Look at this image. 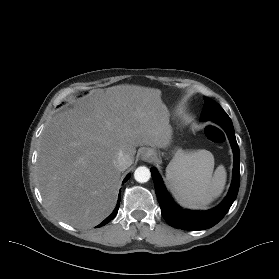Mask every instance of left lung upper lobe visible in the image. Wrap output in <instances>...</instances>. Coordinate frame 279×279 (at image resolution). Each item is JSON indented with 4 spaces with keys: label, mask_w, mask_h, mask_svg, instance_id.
Wrapping results in <instances>:
<instances>
[{
    "label": "left lung upper lobe",
    "mask_w": 279,
    "mask_h": 279,
    "mask_svg": "<svg viewBox=\"0 0 279 279\" xmlns=\"http://www.w3.org/2000/svg\"><path fill=\"white\" fill-rule=\"evenodd\" d=\"M200 120L214 121V122H217L219 120L229 121L230 117L222 109V107L218 105L214 100L205 97V103H204L203 111L201 113Z\"/></svg>",
    "instance_id": "1"
}]
</instances>
